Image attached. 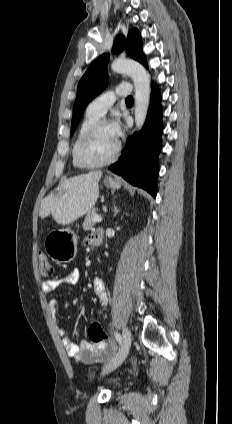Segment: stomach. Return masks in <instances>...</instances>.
Listing matches in <instances>:
<instances>
[{
	"label": "stomach",
	"instance_id": "obj_1",
	"mask_svg": "<svg viewBox=\"0 0 232 424\" xmlns=\"http://www.w3.org/2000/svg\"><path fill=\"white\" fill-rule=\"evenodd\" d=\"M104 185L110 189H119L121 183L112 178L104 179ZM77 235L71 229H60L51 231L44 242L48 255L57 262L67 263L76 255Z\"/></svg>",
	"mask_w": 232,
	"mask_h": 424
}]
</instances>
